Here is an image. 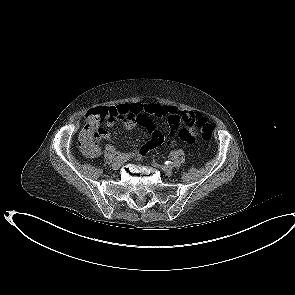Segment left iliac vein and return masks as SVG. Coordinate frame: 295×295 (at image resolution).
I'll return each mask as SVG.
<instances>
[{"instance_id":"obj_1","label":"left iliac vein","mask_w":295,"mask_h":295,"mask_svg":"<svg viewBox=\"0 0 295 295\" xmlns=\"http://www.w3.org/2000/svg\"><path fill=\"white\" fill-rule=\"evenodd\" d=\"M154 166L158 167L159 165L154 163ZM161 167V169L165 172L166 175H172L173 174V170L171 167H168V166H159Z\"/></svg>"}]
</instances>
